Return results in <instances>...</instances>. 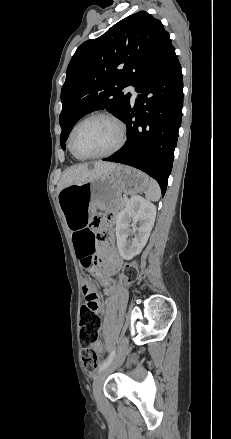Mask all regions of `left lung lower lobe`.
<instances>
[{"instance_id":"1","label":"left lung lower lobe","mask_w":231,"mask_h":439,"mask_svg":"<svg viewBox=\"0 0 231 439\" xmlns=\"http://www.w3.org/2000/svg\"><path fill=\"white\" fill-rule=\"evenodd\" d=\"M140 93L120 118L127 125V142L103 159L140 169L153 177L165 194L182 119L181 65L171 46L138 81ZM135 118V120H133Z\"/></svg>"}]
</instances>
